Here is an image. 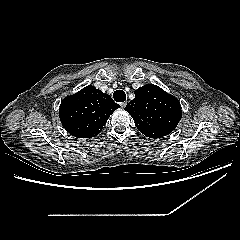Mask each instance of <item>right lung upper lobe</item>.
I'll return each mask as SVG.
<instances>
[{"mask_svg": "<svg viewBox=\"0 0 240 240\" xmlns=\"http://www.w3.org/2000/svg\"><path fill=\"white\" fill-rule=\"evenodd\" d=\"M108 94L87 86L61 102L59 117L63 127L77 138L99 134L110 115L119 108Z\"/></svg>", "mask_w": 240, "mask_h": 240, "instance_id": "cb5924a9", "label": "right lung upper lobe"}]
</instances>
